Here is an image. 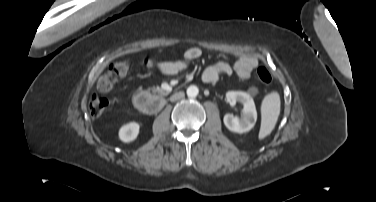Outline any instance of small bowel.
<instances>
[{
	"label": "small bowel",
	"instance_id": "1",
	"mask_svg": "<svg viewBox=\"0 0 376 202\" xmlns=\"http://www.w3.org/2000/svg\"><path fill=\"white\" fill-rule=\"evenodd\" d=\"M202 56V51L198 47L188 48L181 60L164 61L157 65L160 73L167 76L176 75L184 71L192 62ZM258 65V59L249 54L241 55L236 62L231 65L228 62H218L215 65L205 67L201 72V80L205 83H216L225 76L236 73L240 78L250 77L252 70Z\"/></svg>",
	"mask_w": 376,
	"mask_h": 202
}]
</instances>
